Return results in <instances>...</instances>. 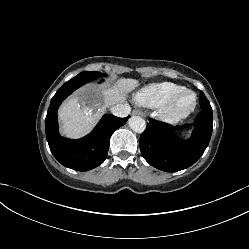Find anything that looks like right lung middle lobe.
Instances as JSON below:
<instances>
[{
    "mask_svg": "<svg viewBox=\"0 0 249 249\" xmlns=\"http://www.w3.org/2000/svg\"><path fill=\"white\" fill-rule=\"evenodd\" d=\"M100 76H105V74L99 72L85 71L78 74L73 79L85 80L86 82H90L99 78Z\"/></svg>",
    "mask_w": 249,
    "mask_h": 249,
    "instance_id": "dd1d6c3e",
    "label": "right lung middle lobe"
}]
</instances>
